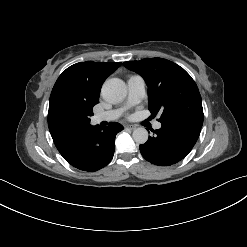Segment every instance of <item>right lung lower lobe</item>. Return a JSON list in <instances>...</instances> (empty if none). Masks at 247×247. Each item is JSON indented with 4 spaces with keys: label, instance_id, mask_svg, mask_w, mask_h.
<instances>
[{
    "label": "right lung lower lobe",
    "instance_id": "obj_1",
    "mask_svg": "<svg viewBox=\"0 0 247 247\" xmlns=\"http://www.w3.org/2000/svg\"><path fill=\"white\" fill-rule=\"evenodd\" d=\"M122 130L123 126L114 122L104 128L89 124L81 132L70 135L55 145L70 165L79 170L94 172L112 160L115 137Z\"/></svg>",
    "mask_w": 247,
    "mask_h": 247
}]
</instances>
